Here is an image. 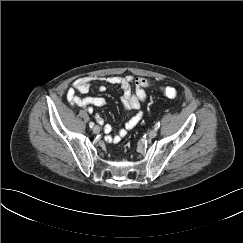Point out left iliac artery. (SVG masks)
I'll list each match as a JSON object with an SVG mask.
<instances>
[{"mask_svg":"<svg viewBox=\"0 0 243 243\" xmlns=\"http://www.w3.org/2000/svg\"><path fill=\"white\" fill-rule=\"evenodd\" d=\"M159 127H160V122H157V123L155 124V129L158 130Z\"/></svg>","mask_w":243,"mask_h":243,"instance_id":"1","label":"left iliac artery"}]
</instances>
